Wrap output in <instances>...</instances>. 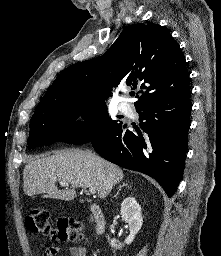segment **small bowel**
Wrapping results in <instances>:
<instances>
[{
    "label": "small bowel",
    "mask_w": 221,
    "mask_h": 256,
    "mask_svg": "<svg viewBox=\"0 0 221 256\" xmlns=\"http://www.w3.org/2000/svg\"><path fill=\"white\" fill-rule=\"evenodd\" d=\"M53 249L55 252H53ZM57 248L54 246H48L43 250V256H55ZM69 253L71 256H86V248L82 245L69 247Z\"/></svg>",
    "instance_id": "c3829d8e"
}]
</instances>
